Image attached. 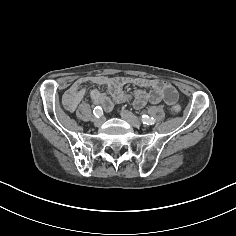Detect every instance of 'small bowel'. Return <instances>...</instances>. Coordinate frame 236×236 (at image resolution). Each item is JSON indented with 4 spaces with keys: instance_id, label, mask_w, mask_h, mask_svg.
Listing matches in <instances>:
<instances>
[{
    "instance_id": "small-bowel-1",
    "label": "small bowel",
    "mask_w": 236,
    "mask_h": 236,
    "mask_svg": "<svg viewBox=\"0 0 236 236\" xmlns=\"http://www.w3.org/2000/svg\"><path fill=\"white\" fill-rule=\"evenodd\" d=\"M89 81L107 87L109 94L97 89L90 90L92 102L105 111H111L115 102H121L126 99L123 87L127 84H132L139 88L133 94L134 106L136 108H142L147 103L157 105L165 102L166 104L172 105L178 99V93L174 86L161 80L127 76H94ZM84 82L85 80L82 79L75 81L64 93L63 103L69 111H73L83 99L87 91V88L83 86ZM145 89H149V91Z\"/></svg>"
}]
</instances>
